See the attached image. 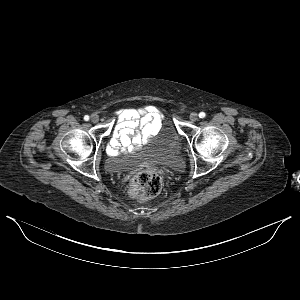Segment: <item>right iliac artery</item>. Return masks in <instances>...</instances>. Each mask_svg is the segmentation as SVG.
Segmentation results:
<instances>
[{"mask_svg": "<svg viewBox=\"0 0 300 300\" xmlns=\"http://www.w3.org/2000/svg\"><path fill=\"white\" fill-rule=\"evenodd\" d=\"M84 120H85V121H88V120H89V116H88V115H85V116H84Z\"/></svg>", "mask_w": 300, "mask_h": 300, "instance_id": "1", "label": "right iliac artery"}]
</instances>
